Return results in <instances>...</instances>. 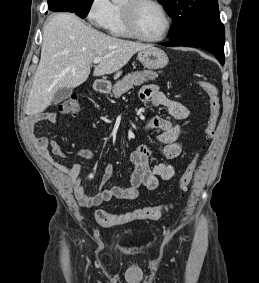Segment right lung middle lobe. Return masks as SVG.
<instances>
[{"label":"right lung middle lobe","instance_id":"obj_1","mask_svg":"<svg viewBox=\"0 0 259 283\" xmlns=\"http://www.w3.org/2000/svg\"><path fill=\"white\" fill-rule=\"evenodd\" d=\"M92 2L93 0H79V7L76 14L81 18H85Z\"/></svg>","mask_w":259,"mask_h":283}]
</instances>
